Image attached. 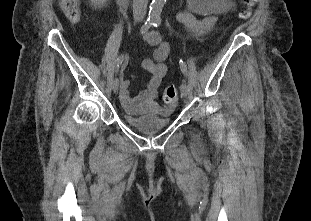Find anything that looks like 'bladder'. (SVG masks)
<instances>
[{
  "label": "bladder",
  "instance_id": "bladder-1",
  "mask_svg": "<svg viewBox=\"0 0 311 221\" xmlns=\"http://www.w3.org/2000/svg\"><path fill=\"white\" fill-rule=\"evenodd\" d=\"M172 108H127L121 107V114L126 125L135 127L137 132L154 135L172 124Z\"/></svg>",
  "mask_w": 311,
  "mask_h": 221
}]
</instances>
